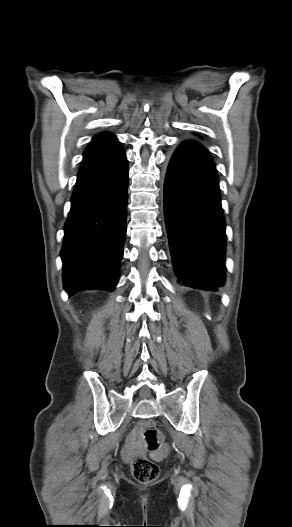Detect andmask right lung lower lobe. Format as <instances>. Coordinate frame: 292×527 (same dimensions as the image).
I'll list each match as a JSON object with an SVG mask.
<instances>
[{"label":"right lung lower lobe","mask_w":292,"mask_h":527,"mask_svg":"<svg viewBox=\"0 0 292 527\" xmlns=\"http://www.w3.org/2000/svg\"><path fill=\"white\" fill-rule=\"evenodd\" d=\"M128 172L125 152L116 139L92 142L84 152L61 250L69 296L86 289L112 291L118 282Z\"/></svg>","instance_id":"98d812e1"}]
</instances>
